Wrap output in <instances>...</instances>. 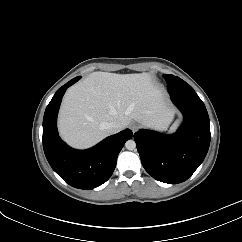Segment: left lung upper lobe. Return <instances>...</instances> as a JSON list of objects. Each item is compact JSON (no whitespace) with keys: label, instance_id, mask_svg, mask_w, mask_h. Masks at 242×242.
<instances>
[{"label":"left lung upper lobe","instance_id":"left-lung-upper-lobe-1","mask_svg":"<svg viewBox=\"0 0 242 242\" xmlns=\"http://www.w3.org/2000/svg\"><path fill=\"white\" fill-rule=\"evenodd\" d=\"M167 82V88L169 90H176V91H181V90H193V88L187 84L185 81L180 79L179 77H176L174 75H163Z\"/></svg>","mask_w":242,"mask_h":242}]
</instances>
